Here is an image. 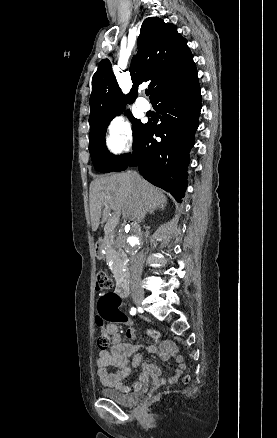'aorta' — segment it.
<instances>
[{"label": "aorta", "mask_w": 277, "mask_h": 438, "mask_svg": "<svg viewBox=\"0 0 277 438\" xmlns=\"http://www.w3.org/2000/svg\"><path fill=\"white\" fill-rule=\"evenodd\" d=\"M143 242V232L138 223L124 226L118 235L119 246L127 252H135L140 249Z\"/></svg>", "instance_id": "obj_1"}]
</instances>
